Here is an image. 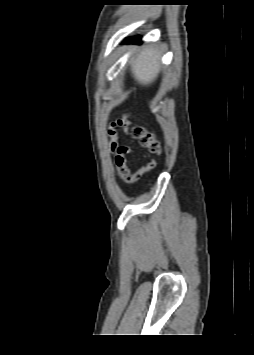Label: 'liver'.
<instances>
[{
    "label": "liver",
    "mask_w": 254,
    "mask_h": 355,
    "mask_svg": "<svg viewBox=\"0 0 254 355\" xmlns=\"http://www.w3.org/2000/svg\"><path fill=\"white\" fill-rule=\"evenodd\" d=\"M160 54L153 47L143 49L135 59L131 60V71L141 85L152 83L160 71Z\"/></svg>",
    "instance_id": "6515ba94"
}]
</instances>
